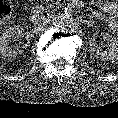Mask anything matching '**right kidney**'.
Listing matches in <instances>:
<instances>
[{
  "mask_svg": "<svg viewBox=\"0 0 118 118\" xmlns=\"http://www.w3.org/2000/svg\"><path fill=\"white\" fill-rule=\"evenodd\" d=\"M24 31V27L21 25H14L4 30L0 35V54L2 56L7 57H16L18 54L22 52V49L12 50L8 46V42L11 38L15 36V34H21ZM28 44L22 46V48H26Z\"/></svg>",
  "mask_w": 118,
  "mask_h": 118,
  "instance_id": "right-kidney-1",
  "label": "right kidney"
}]
</instances>
